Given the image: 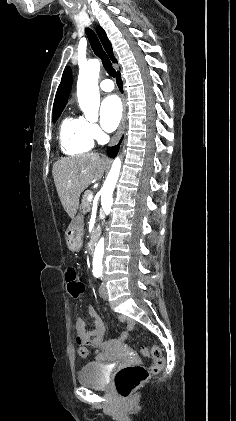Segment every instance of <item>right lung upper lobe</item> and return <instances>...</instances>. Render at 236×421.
<instances>
[{"label":"right lung upper lobe","mask_w":236,"mask_h":421,"mask_svg":"<svg viewBox=\"0 0 236 421\" xmlns=\"http://www.w3.org/2000/svg\"><path fill=\"white\" fill-rule=\"evenodd\" d=\"M96 32L102 42L103 47L105 48L107 54L109 55L112 62H116V59L113 55L112 45L107 38L105 31L100 27H96ZM72 87V72L70 67H66L63 72L61 83L58 87L56 97L54 100L53 111L58 109H64L67 99L69 97L70 91Z\"/></svg>","instance_id":"cb5924a9"}]
</instances>
